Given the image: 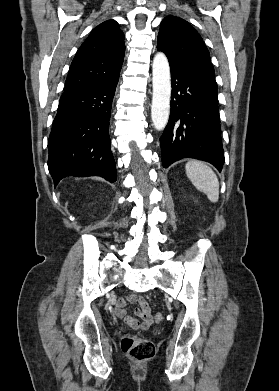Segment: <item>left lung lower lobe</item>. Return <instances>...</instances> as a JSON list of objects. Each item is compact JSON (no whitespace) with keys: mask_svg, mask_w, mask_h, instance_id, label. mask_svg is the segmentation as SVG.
<instances>
[{"mask_svg":"<svg viewBox=\"0 0 279 391\" xmlns=\"http://www.w3.org/2000/svg\"><path fill=\"white\" fill-rule=\"evenodd\" d=\"M172 96L168 124L160 138L163 167L182 158L224 164L218 92L202 80L171 68Z\"/></svg>","mask_w":279,"mask_h":391,"instance_id":"obj_1","label":"left lung lower lobe"}]
</instances>
